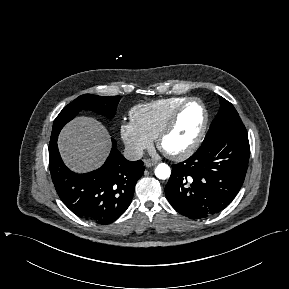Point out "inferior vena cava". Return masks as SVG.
<instances>
[{"label":"inferior vena cava","instance_id":"602c4592","mask_svg":"<svg viewBox=\"0 0 289 289\" xmlns=\"http://www.w3.org/2000/svg\"><path fill=\"white\" fill-rule=\"evenodd\" d=\"M124 157L129 161L140 160L143 157V150L134 146H126Z\"/></svg>","mask_w":289,"mask_h":289}]
</instances>
